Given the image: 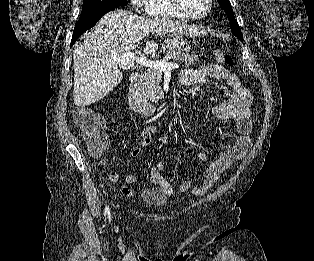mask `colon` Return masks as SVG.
I'll return each instance as SVG.
<instances>
[{
  "label": "colon",
  "mask_w": 314,
  "mask_h": 261,
  "mask_svg": "<svg viewBox=\"0 0 314 261\" xmlns=\"http://www.w3.org/2000/svg\"><path fill=\"white\" fill-rule=\"evenodd\" d=\"M214 55L217 60L228 66L235 64L233 56L226 49H217ZM73 118L76 125L81 129L89 152L93 156H99L108 149V138L101 130L103 117L98 112L89 108H77L73 113Z\"/></svg>",
  "instance_id": "colon-1"
}]
</instances>
